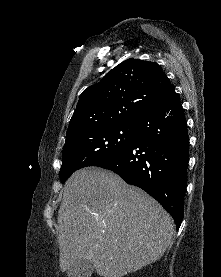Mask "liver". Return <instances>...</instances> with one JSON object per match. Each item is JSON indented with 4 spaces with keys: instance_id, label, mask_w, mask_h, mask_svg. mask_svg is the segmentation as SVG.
I'll list each match as a JSON object with an SVG mask.
<instances>
[{
    "instance_id": "liver-1",
    "label": "liver",
    "mask_w": 221,
    "mask_h": 277,
    "mask_svg": "<svg viewBox=\"0 0 221 277\" xmlns=\"http://www.w3.org/2000/svg\"><path fill=\"white\" fill-rule=\"evenodd\" d=\"M57 230L63 272L86 259L102 277H123L163 256L174 222L143 190L89 167L67 180Z\"/></svg>"
}]
</instances>
